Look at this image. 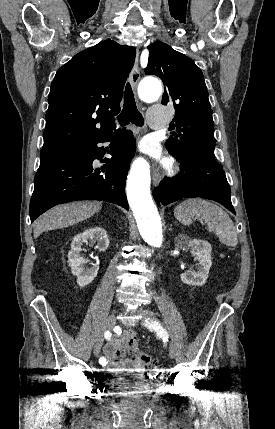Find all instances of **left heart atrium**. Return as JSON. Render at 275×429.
<instances>
[{
    "mask_svg": "<svg viewBox=\"0 0 275 429\" xmlns=\"http://www.w3.org/2000/svg\"><path fill=\"white\" fill-rule=\"evenodd\" d=\"M144 149H145L147 152L152 153V154H156V153H157V151H156V147H155V146H152V145H147V146H145V147H144Z\"/></svg>",
    "mask_w": 275,
    "mask_h": 429,
    "instance_id": "left-heart-atrium-1",
    "label": "left heart atrium"
}]
</instances>
